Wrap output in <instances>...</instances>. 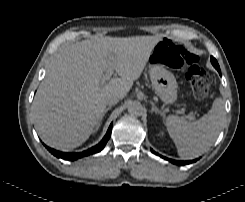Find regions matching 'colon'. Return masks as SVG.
Returning <instances> with one entry per match:
<instances>
[{"label":"colon","instance_id":"colon-1","mask_svg":"<svg viewBox=\"0 0 245 202\" xmlns=\"http://www.w3.org/2000/svg\"><path fill=\"white\" fill-rule=\"evenodd\" d=\"M159 48L163 58L183 72L194 96L203 98L208 93L211 79L209 74L199 66L198 56L166 37L161 39Z\"/></svg>","mask_w":245,"mask_h":202}]
</instances>
